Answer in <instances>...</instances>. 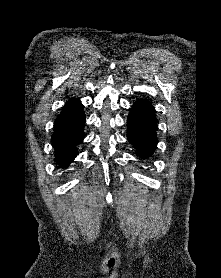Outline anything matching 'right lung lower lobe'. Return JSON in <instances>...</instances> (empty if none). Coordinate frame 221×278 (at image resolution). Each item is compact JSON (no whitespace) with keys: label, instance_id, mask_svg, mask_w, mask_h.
<instances>
[{"label":"right lung lower lobe","instance_id":"right-lung-lower-lobe-1","mask_svg":"<svg viewBox=\"0 0 221 278\" xmlns=\"http://www.w3.org/2000/svg\"><path fill=\"white\" fill-rule=\"evenodd\" d=\"M85 119L84 111H81L74 117L55 125L51 141L55 151V161L61 167L68 166L76 157V146L84 139Z\"/></svg>","mask_w":221,"mask_h":278}]
</instances>
